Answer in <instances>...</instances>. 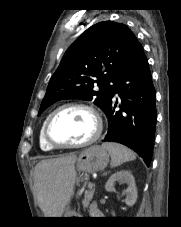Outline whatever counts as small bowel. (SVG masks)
<instances>
[{"mask_svg": "<svg viewBox=\"0 0 181 227\" xmlns=\"http://www.w3.org/2000/svg\"><path fill=\"white\" fill-rule=\"evenodd\" d=\"M89 212H90L91 215H98L99 214V210H98V208L95 204L90 206Z\"/></svg>", "mask_w": 181, "mask_h": 227, "instance_id": "obj_1", "label": "small bowel"}]
</instances>
